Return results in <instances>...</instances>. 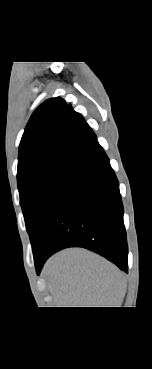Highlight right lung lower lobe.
I'll return each mask as SVG.
<instances>
[{
	"instance_id": "1",
	"label": "right lung lower lobe",
	"mask_w": 152,
	"mask_h": 369,
	"mask_svg": "<svg viewBox=\"0 0 152 369\" xmlns=\"http://www.w3.org/2000/svg\"><path fill=\"white\" fill-rule=\"evenodd\" d=\"M67 247L87 248L128 269L119 183L99 144L76 163L53 206L33 251L37 274Z\"/></svg>"
}]
</instances>
